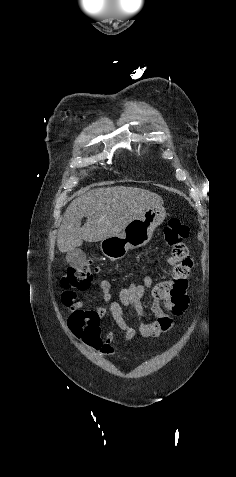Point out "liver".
Returning a JSON list of instances; mask_svg holds the SVG:
<instances>
[{"label": "liver", "mask_w": 236, "mask_h": 477, "mask_svg": "<svg viewBox=\"0 0 236 477\" xmlns=\"http://www.w3.org/2000/svg\"><path fill=\"white\" fill-rule=\"evenodd\" d=\"M163 199L148 190L115 186L97 188L79 196L67 207L58 230L57 246L70 252L83 241L98 242L119 235L134 219L154 207H162ZM87 218L81 227V220Z\"/></svg>", "instance_id": "liver-1"}]
</instances>
